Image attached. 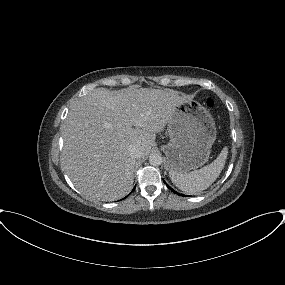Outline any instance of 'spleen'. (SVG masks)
I'll list each match as a JSON object with an SVG mask.
<instances>
[{"label": "spleen", "instance_id": "3e777b00", "mask_svg": "<svg viewBox=\"0 0 285 285\" xmlns=\"http://www.w3.org/2000/svg\"><path fill=\"white\" fill-rule=\"evenodd\" d=\"M228 155V148L224 147L216 160L211 164L190 173L169 171L172 183L186 194L192 195L207 189L220 175Z\"/></svg>", "mask_w": 285, "mask_h": 285}]
</instances>
